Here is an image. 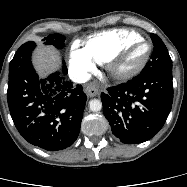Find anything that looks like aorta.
Segmentation results:
<instances>
[{
    "label": "aorta",
    "instance_id": "762f6f07",
    "mask_svg": "<svg viewBox=\"0 0 187 187\" xmlns=\"http://www.w3.org/2000/svg\"><path fill=\"white\" fill-rule=\"evenodd\" d=\"M89 109L92 112H98L102 109V102L98 99H92L89 101Z\"/></svg>",
    "mask_w": 187,
    "mask_h": 187
}]
</instances>
